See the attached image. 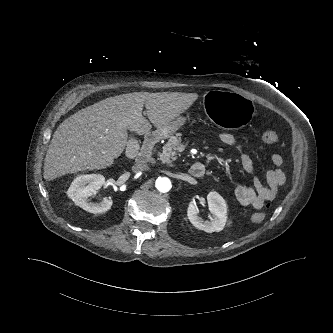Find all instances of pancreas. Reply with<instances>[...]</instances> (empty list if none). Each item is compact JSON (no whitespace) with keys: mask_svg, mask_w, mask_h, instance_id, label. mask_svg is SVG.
I'll return each instance as SVG.
<instances>
[{"mask_svg":"<svg viewBox=\"0 0 333 333\" xmlns=\"http://www.w3.org/2000/svg\"><path fill=\"white\" fill-rule=\"evenodd\" d=\"M181 144V134L172 135L168 142L163 146L162 153H159L160 160L163 163H171L176 159V150Z\"/></svg>","mask_w":333,"mask_h":333,"instance_id":"1","label":"pancreas"}]
</instances>
